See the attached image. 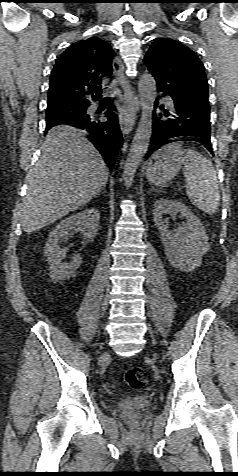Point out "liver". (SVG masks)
Segmentation results:
<instances>
[{"label": "liver", "instance_id": "obj_1", "mask_svg": "<svg viewBox=\"0 0 238 476\" xmlns=\"http://www.w3.org/2000/svg\"><path fill=\"white\" fill-rule=\"evenodd\" d=\"M41 155L27 175L22 226L35 232L76 210L106 185L109 169L102 156L79 130L60 126L50 130Z\"/></svg>", "mask_w": 238, "mask_h": 476}]
</instances>
